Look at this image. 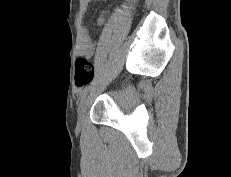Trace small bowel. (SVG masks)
I'll list each match as a JSON object with an SVG mask.
<instances>
[{
  "label": "small bowel",
  "mask_w": 231,
  "mask_h": 177,
  "mask_svg": "<svg viewBox=\"0 0 231 177\" xmlns=\"http://www.w3.org/2000/svg\"><path fill=\"white\" fill-rule=\"evenodd\" d=\"M92 0H87L88 3H90ZM104 22V18L100 17L98 19V23L102 24ZM83 37H84V43L83 45L80 47V51L86 56V57H92L94 55L95 52V42H93L87 31H84L83 33Z\"/></svg>",
  "instance_id": "c3829d8e"
}]
</instances>
